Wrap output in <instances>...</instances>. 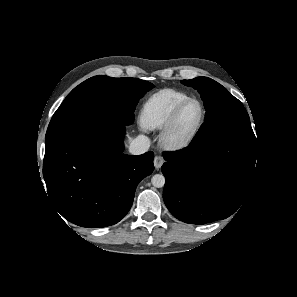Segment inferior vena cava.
I'll return each mask as SVG.
<instances>
[{
    "mask_svg": "<svg viewBox=\"0 0 297 297\" xmlns=\"http://www.w3.org/2000/svg\"><path fill=\"white\" fill-rule=\"evenodd\" d=\"M150 140L145 135H138L135 139L132 140L129 146V152L132 155H140L149 150Z\"/></svg>",
    "mask_w": 297,
    "mask_h": 297,
    "instance_id": "inferior-vena-cava-1",
    "label": "inferior vena cava"
}]
</instances>
